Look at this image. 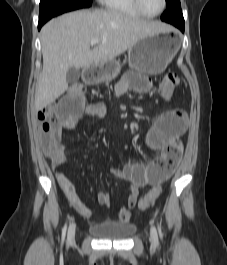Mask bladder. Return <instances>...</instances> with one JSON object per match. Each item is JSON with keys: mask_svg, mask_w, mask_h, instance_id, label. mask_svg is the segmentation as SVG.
<instances>
[{"mask_svg": "<svg viewBox=\"0 0 227 265\" xmlns=\"http://www.w3.org/2000/svg\"><path fill=\"white\" fill-rule=\"evenodd\" d=\"M135 231L133 224L98 223L89 227V232L97 238L105 240H123Z\"/></svg>", "mask_w": 227, "mask_h": 265, "instance_id": "1", "label": "bladder"}]
</instances>
